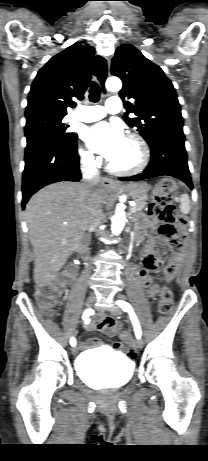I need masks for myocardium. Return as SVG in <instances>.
<instances>
[{"label": "myocardium", "instance_id": "myocardium-1", "mask_svg": "<svg viewBox=\"0 0 208 461\" xmlns=\"http://www.w3.org/2000/svg\"><path fill=\"white\" fill-rule=\"evenodd\" d=\"M126 139L134 142V144L137 146L139 150V154H140V160L136 166L130 169L117 168L111 163V160H110L108 162V170L115 175H120V176L136 175L142 172L149 163L150 152H149V148L145 140L137 133H129Z\"/></svg>", "mask_w": 208, "mask_h": 461}]
</instances>
